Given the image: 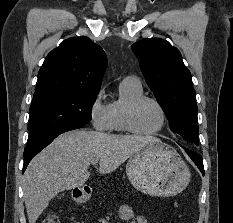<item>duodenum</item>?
Listing matches in <instances>:
<instances>
[{
  "mask_svg": "<svg viewBox=\"0 0 233 223\" xmlns=\"http://www.w3.org/2000/svg\"><path fill=\"white\" fill-rule=\"evenodd\" d=\"M74 198L76 201L83 203L88 200L89 192L83 189H80L74 193Z\"/></svg>",
  "mask_w": 233,
  "mask_h": 223,
  "instance_id": "410a0bca",
  "label": "duodenum"
}]
</instances>
